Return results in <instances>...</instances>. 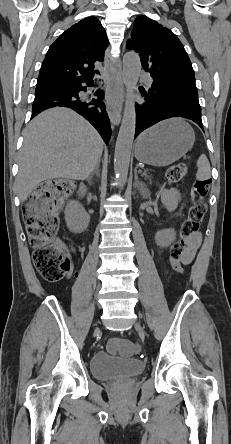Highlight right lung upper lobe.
Instances as JSON below:
<instances>
[{
    "label": "right lung upper lobe",
    "instance_id": "right-lung-upper-lobe-1",
    "mask_svg": "<svg viewBox=\"0 0 231 444\" xmlns=\"http://www.w3.org/2000/svg\"><path fill=\"white\" fill-rule=\"evenodd\" d=\"M108 44L105 29L96 17L74 24L50 46L35 91L93 80L94 63L103 61Z\"/></svg>",
    "mask_w": 231,
    "mask_h": 444
}]
</instances>
